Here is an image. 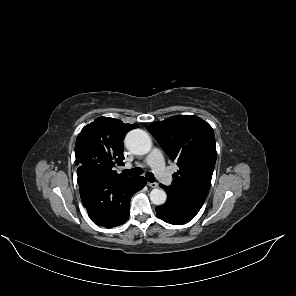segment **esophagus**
<instances>
[{"label":"esophagus","mask_w":296,"mask_h":296,"mask_svg":"<svg viewBox=\"0 0 296 296\" xmlns=\"http://www.w3.org/2000/svg\"><path fill=\"white\" fill-rule=\"evenodd\" d=\"M147 185L151 188H156L158 186V183L157 182H148Z\"/></svg>","instance_id":"1"}]
</instances>
